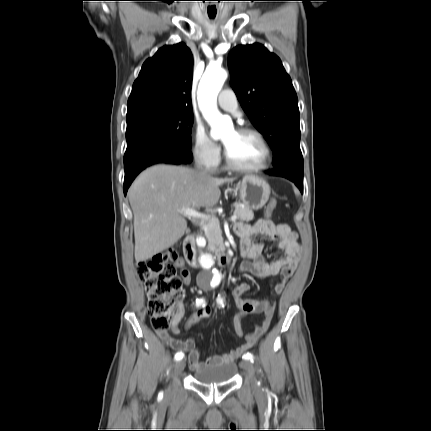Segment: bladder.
I'll use <instances>...</instances> for the list:
<instances>
[{
	"label": "bladder",
	"instance_id": "bladder-1",
	"mask_svg": "<svg viewBox=\"0 0 431 431\" xmlns=\"http://www.w3.org/2000/svg\"><path fill=\"white\" fill-rule=\"evenodd\" d=\"M237 373V364L229 362L196 370L193 378L201 384L221 385L231 382Z\"/></svg>",
	"mask_w": 431,
	"mask_h": 431
}]
</instances>
